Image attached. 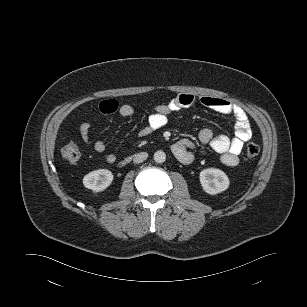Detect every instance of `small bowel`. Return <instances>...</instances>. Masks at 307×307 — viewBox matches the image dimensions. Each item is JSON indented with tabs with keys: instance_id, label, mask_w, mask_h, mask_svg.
I'll return each mask as SVG.
<instances>
[{
	"instance_id": "small-bowel-1",
	"label": "small bowel",
	"mask_w": 307,
	"mask_h": 307,
	"mask_svg": "<svg viewBox=\"0 0 307 307\" xmlns=\"http://www.w3.org/2000/svg\"><path fill=\"white\" fill-rule=\"evenodd\" d=\"M111 102H115L113 105ZM195 104H201L221 114L232 115L235 119V135L230 138L227 135H214L212 130L204 128L199 132L198 139L202 145H208L212 150L221 155V161L226 166H236L239 163V155L243 145L252 137L251 125L245 111L229 100L212 97L196 96L192 94H179L167 104H160L154 107L148 117L147 125L140 131V136H146L162 128L168 121L171 113ZM99 109L104 114L118 113L122 117H130L134 114V108L130 104H118L116 100H104L100 103ZM91 125L89 122H82L79 126V134L82 141L92 144L98 153H104L106 145L101 140L91 141ZM195 143L190 139H181L171 145V151L175 157L185 165L191 164L194 160ZM104 159L108 163H114L117 159L114 153H105Z\"/></svg>"
}]
</instances>
